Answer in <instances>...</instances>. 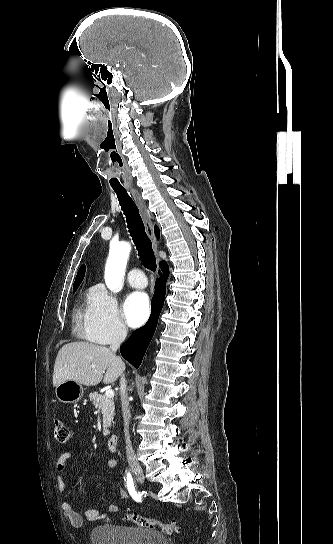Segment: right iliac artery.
Returning <instances> with one entry per match:
<instances>
[{"mask_svg": "<svg viewBox=\"0 0 333 544\" xmlns=\"http://www.w3.org/2000/svg\"><path fill=\"white\" fill-rule=\"evenodd\" d=\"M125 481H126V484H127L128 492L132 496V498L137 502L141 501V495L136 492L135 483H134L132 475H131V473L129 471L127 473Z\"/></svg>", "mask_w": 333, "mask_h": 544, "instance_id": "1", "label": "right iliac artery"}]
</instances>
